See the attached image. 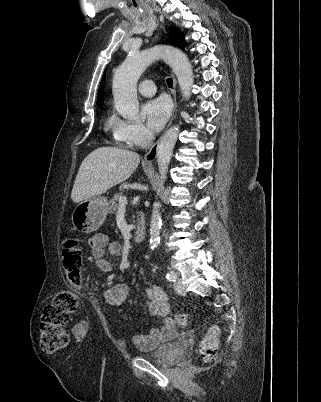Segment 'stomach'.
Returning <instances> with one entry per match:
<instances>
[{
	"label": "stomach",
	"instance_id": "0dacf381",
	"mask_svg": "<svg viewBox=\"0 0 321 402\" xmlns=\"http://www.w3.org/2000/svg\"><path fill=\"white\" fill-rule=\"evenodd\" d=\"M108 200L103 196H93L80 202L72 213L75 230L83 233L96 231L108 214Z\"/></svg>",
	"mask_w": 321,
	"mask_h": 402
}]
</instances>
